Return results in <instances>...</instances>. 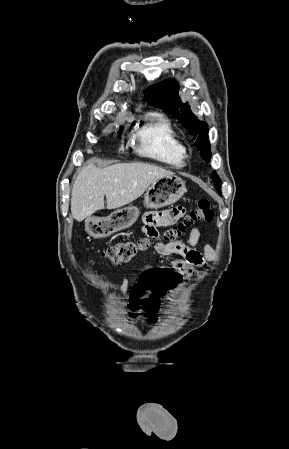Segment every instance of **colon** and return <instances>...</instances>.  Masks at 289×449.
<instances>
[{
    "instance_id": "obj_1",
    "label": "colon",
    "mask_w": 289,
    "mask_h": 449,
    "mask_svg": "<svg viewBox=\"0 0 289 449\" xmlns=\"http://www.w3.org/2000/svg\"><path fill=\"white\" fill-rule=\"evenodd\" d=\"M213 217L214 212L209 201L201 199L181 222L164 232L163 239L168 243H174L194 223L210 222ZM159 240L160 237L157 239L143 237L134 241L119 242L104 249L102 255L111 264H124L131 261L138 253L148 250ZM180 278V271H175L174 268H144L134 284L130 308L135 310L139 305H148L150 316L153 318L159 305H164L171 286L178 285Z\"/></svg>"
}]
</instances>
